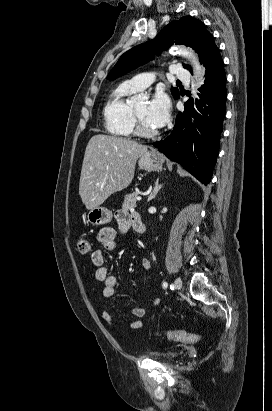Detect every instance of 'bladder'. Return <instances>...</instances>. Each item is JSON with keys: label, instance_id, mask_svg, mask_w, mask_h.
Returning <instances> with one entry per match:
<instances>
[{"label": "bladder", "instance_id": "bladder-1", "mask_svg": "<svg viewBox=\"0 0 272 411\" xmlns=\"http://www.w3.org/2000/svg\"><path fill=\"white\" fill-rule=\"evenodd\" d=\"M149 356L152 359L162 360V361H173L179 357L176 352H166V353H150Z\"/></svg>", "mask_w": 272, "mask_h": 411}]
</instances>
